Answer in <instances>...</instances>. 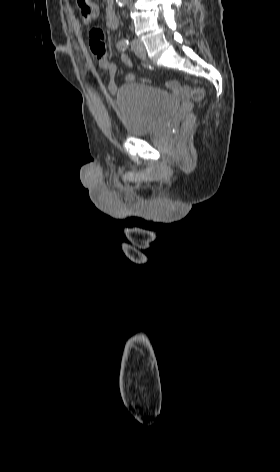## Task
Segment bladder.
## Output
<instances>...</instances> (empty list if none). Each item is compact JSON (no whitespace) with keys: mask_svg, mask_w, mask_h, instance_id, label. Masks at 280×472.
Wrapping results in <instances>:
<instances>
[{"mask_svg":"<svg viewBox=\"0 0 280 472\" xmlns=\"http://www.w3.org/2000/svg\"><path fill=\"white\" fill-rule=\"evenodd\" d=\"M179 102L168 92L139 83H127L116 92V109L129 137L158 130L178 109Z\"/></svg>","mask_w":280,"mask_h":472,"instance_id":"bladder-1","label":"bladder"}]
</instances>
